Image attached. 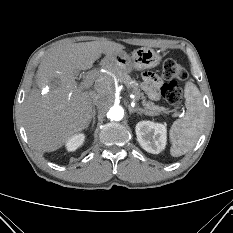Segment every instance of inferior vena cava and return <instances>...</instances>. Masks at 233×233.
<instances>
[{
	"label": "inferior vena cava",
	"mask_w": 233,
	"mask_h": 233,
	"mask_svg": "<svg viewBox=\"0 0 233 233\" xmlns=\"http://www.w3.org/2000/svg\"><path fill=\"white\" fill-rule=\"evenodd\" d=\"M101 86H102V85H101V82L98 81V82L96 83V88H97V90H98V92H99L100 94H102ZM96 98H97L96 92H92V99H93V101H95Z\"/></svg>",
	"instance_id": "602c4592"
}]
</instances>
